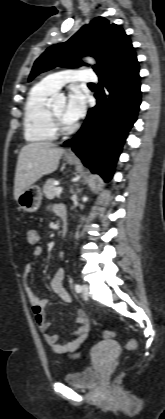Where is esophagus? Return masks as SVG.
I'll list each match as a JSON object with an SVG mask.
<instances>
[{"label":"esophagus","mask_w":165,"mask_h":419,"mask_svg":"<svg viewBox=\"0 0 165 419\" xmlns=\"http://www.w3.org/2000/svg\"><path fill=\"white\" fill-rule=\"evenodd\" d=\"M66 154H67V156H70V157L75 156V154L71 150H69Z\"/></svg>","instance_id":"34e87169"}]
</instances>
